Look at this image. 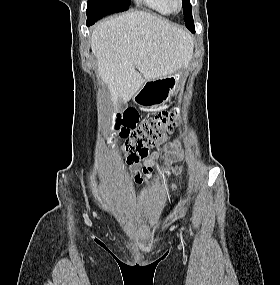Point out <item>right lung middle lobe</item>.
<instances>
[{
    "label": "right lung middle lobe",
    "instance_id": "dd1d6c3e",
    "mask_svg": "<svg viewBox=\"0 0 280 285\" xmlns=\"http://www.w3.org/2000/svg\"><path fill=\"white\" fill-rule=\"evenodd\" d=\"M130 0H88L87 23L94 24L100 18L128 9Z\"/></svg>",
    "mask_w": 280,
    "mask_h": 285
}]
</instances>
